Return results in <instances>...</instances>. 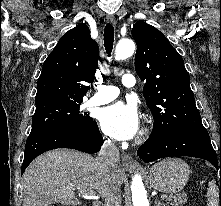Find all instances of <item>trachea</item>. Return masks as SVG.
I'll list each match as a JSON object with an SVG mask.
<instances>
[{
	"mask_svg": "<svg viewBox=\"0 0 221 206\" xmlns=\"http://www.w3.org/2000/svg\"><path fill=\"white\" fill-rule=\"evenodd\" d=\"M114 43V28L112 24L108 23L104 29V46L108 56H111Z\"/></svg>",
	"mask_w": 221,
	"mask_h": 206,
	"instance_id": "1",
	"label": "trachea"
}]
</instances>
